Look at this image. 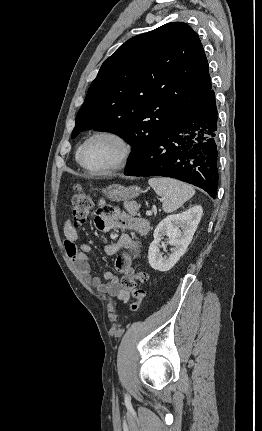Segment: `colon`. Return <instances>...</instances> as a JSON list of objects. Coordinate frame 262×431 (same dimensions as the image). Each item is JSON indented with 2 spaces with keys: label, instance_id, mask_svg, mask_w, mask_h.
Returning <instances> with one entry per match:
<instances>
[{
  "label": "colon",
  "instance_id": "5ec220e1",
  "mask_svg": "<svg viewBox=\"0 0 262 431\" xmlns=\"http://www.w3.org/2000/svg\"><path fill=\"white\" fill-rule=\"evenodd\" d=\"M71 218L75 226H82L85 224L92 210V201L89 195L80 187L76 186L75 191L70 199ZM114 212V207L107 205L103 208V213L110 215ZM147 273L141 271L135 276H125L121 280L122 291L132 297L129 303L130 312L139 310L141 301L146 295V290L140 287V284L148 282Z\"/></svg>",
  "mask_w": 262,
  "mask_h": 431
}]
</instances>
